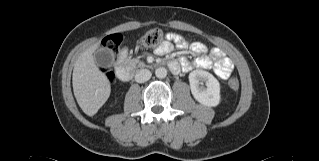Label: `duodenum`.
<instances>
[{"label": "duodenum", "instance_id": "410a0bca", "mask_svg": "<svg viewBox=\"0 0 319 161\" xmlns=\"http://www.w3.org/2000/svg\"><path fill=\"white\" fill-rule=\"evenodd\" d=\"M168 66L173 72H176L179 69L178 64L173 61L170 62ZM116 73L118 79L123 82H127L132 78L133 72L127 62V55L125 52H122L117 58Z\"/></svg>", "mask_w": 319, "mask_h": 161}]
</instances>
